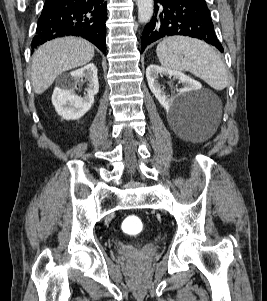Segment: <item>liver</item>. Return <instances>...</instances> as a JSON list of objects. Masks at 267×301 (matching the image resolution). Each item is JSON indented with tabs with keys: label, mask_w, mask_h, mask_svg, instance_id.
Instances as JSON below:
<instances>
[{
	"label": "liver",
	"mask_w": 267,
	"mask_h": 301,
	"mask_svg": "<svg viewBox=\"0 0 267 301\" xmlns=\"http://www.w3.org/2000/svg\"><path fill=\"white\" fill-rule=\"evenodd\" d=\"M94 57L90 42L78 37L57 38L41 45L34 53L31 83L36 94H42L63 72L81 67Z\"/></svg>",
	"instance_id": "6515ba94"
}]
</instances>
